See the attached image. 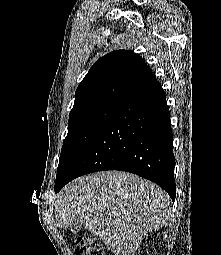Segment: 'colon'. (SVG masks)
Masks as SVG:
<instances>
[{
	"label": "colon",
	"instance_id": "obj_1",
	"mask_svg": "<svg viewBox=\"0 0 221 255\" xmlns=\"http://www.w3.org/2000/svg\"><path fill=\"white\" fill-rule=\"evenodd\" d=\"M75 254L106 255L98 241L86 235H81L76 239Z\"/></svg>",
	"mask_w": 221,
	"mask_h": 255
}]
</instances>
